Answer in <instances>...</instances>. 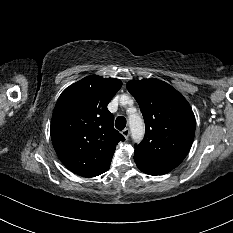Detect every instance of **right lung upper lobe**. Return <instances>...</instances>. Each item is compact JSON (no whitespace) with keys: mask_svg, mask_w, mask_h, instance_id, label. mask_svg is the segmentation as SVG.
Instances as JSON below:
<instances>
[{"mask_svg":"<svg viewBox=\"0 0 233 233\" xmlns=\"http://www.w3.org/2000/svg\"><path fill=\"white\" fill-rule=\"evenodd\" d=\"M121 86L118 79L91 75L61 93L52 115L51 139L70 171L95 177L110 168L116 145L125 138L114 129L107 105Z\"/></svg>","mask_w":233,"mask_h":233,"instance_id":"cb5924a9","label":"right lung upper lobe"}]
</instances>
